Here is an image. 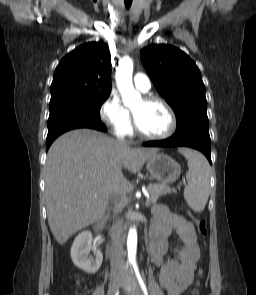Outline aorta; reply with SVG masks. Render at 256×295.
Returning a JSON list of instances; mask_svg holds the SVG:
<instances>
[{
	"instance_id": "762f6f07",
	"label": "aorta",
	"mask_w": 256,
	"mask_h": 295,
	"mask_svg": "<svg viewBox=\"0 0 256 295\" xmlns=\"http://www.w3.org/2000/svg\"><path fill=\"white\" fill-rule=\"evenodd\" d=\"M133 61L129 57L123 58L116 71L117 88L121 94L123 104L127 107L141 101V94L135 90L132 82ZM127 251L129 262H134L137 251V230L133 226L127 237Z\"/></svg>"
}]
</instances>
